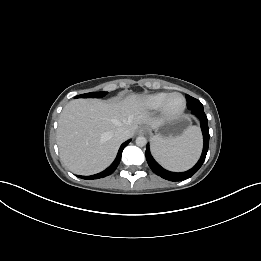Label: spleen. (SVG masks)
<instances>
[{"instance_id": "obj_1", "label": "spleen", "mask_w": 261, "mask_h": 261, "mask_svg": "<svg viewBox=\"0 0 261 261\" xmlns=\"http://www.w3.org/2000/svg\"><path fill=\"white\" fill-rule=\"evenodd\" d=\"M202 138L197 126H190L181 135L152 139V152L156 160L171 171L191 168L199 158Z\"/></svg>"}]
</instances>
